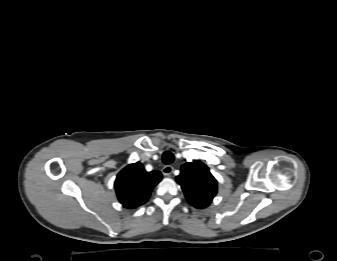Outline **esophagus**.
<instances>
[{
    "instance_id": "34e87169",
    "label": "esophagus",
    "mask_w": 337,
    "mask_h": 261,
    "mask_svg": "<svg viewBox=\"0 0 337 261\" xmlns=\"http://www.w3.org/2000/svg\"><path fill=\"white\" fill-rule=\"evenodd\" d=\"M174 168L171 166V165H165L163 168H162V173L164 176H170L173 172Z\"/></svg>"
}]
</instances>
